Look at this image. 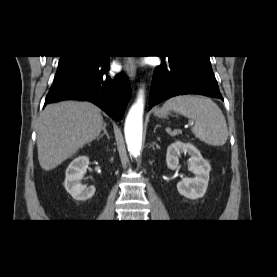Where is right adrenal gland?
I'll use <instances>...</instances> for the list:
<instances>
[{"instance_id": "1", "label": "right adrenal gland", "mask_w": 277, "mask_h": 277, "mask_svg": "<svg viewBox=\"0 0 277 277\" xmlns=\"http://www.w3.org/2000/svg\"><path fill=\"white\" fill-rule=\"evenodd\" d=\"M104 135H106L107 138L110 139L109 134L107 133V130H106V124H105V126H104V128H103V133L98 137V140H99L100 138H102Z\"/></svg>"}]
</instances>
